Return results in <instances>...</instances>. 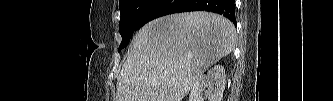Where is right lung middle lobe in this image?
Returning a JSON list of instances; mask_svg holds the SVG:
<instances>
[{"label": "right lung middle lobe", "instance_id": "1", "mask_svg": "<svg viewBox=\"0 0 333 101\" xmlns=\"http://www.w3.org/2000/svg\"><path fill=\"white\" fill-rule=\"evenodd\" d=\"M154 0H120V22L119 31L122 42L118 51L120 52L129 43L133 33L139 29L138 23L144 11Z\"/></svg>", "mask_w": 333, "mask_h": 101}]
</instances>
